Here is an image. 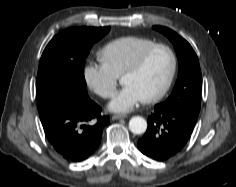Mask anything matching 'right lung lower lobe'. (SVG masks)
I'll list each match as a JSON object with an SVG mask.
<instances>
[{
    "label": "right lung lower lobe",
    "mask_w": 236,
    "mask_h": 187,
    "mask_svg": "<svg viewBox=\"0 0 236 187\" xmlns=\"http://www.w3.org/2000/svg\"><path fill=\"white\" fill-rule=\"evenodd\" d=\"M92 120L97 122L89 124ZM41 122L54 149L67 161L81 162L97 150L109 117L101 115V108L88 95H82L57 99Z\"/></svg>",
    "instance_id": "98d812e1"
}]
</instances>
